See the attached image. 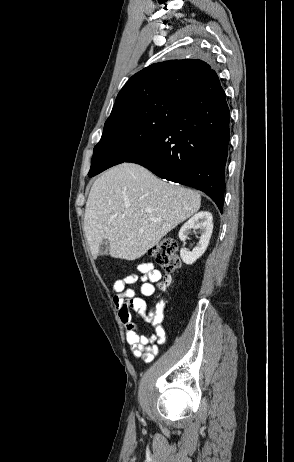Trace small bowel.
Segmentation results:
<instances>
[{
	"instance_id": "small-bowel-1",
	"label": "small bowel",
	"mask_w": 294,
	"mask_h": 462,
	"mask_svg": "<svg viewBox=\"0 0 294 462\" xmlns=\"http://www.w3.org/2000/svg\"><path fill=\"white\" fill-rule=\"evenodd\" d=\"M136 273L117 279L113 284V303L119 314L121 322L126 326V341L133 355L149 363L159 353L160 346L165 342V330L162 327L164 318V301H158L147 313L146 302L139 296L135 286L139 285V293L150 297L155 292V284L161 280V272L150 262L141 263ZM138 311L145 321L153 327L151 336L139 333L138 327L131 320L129 309Z\"/></svg>"
}]
</instances>
